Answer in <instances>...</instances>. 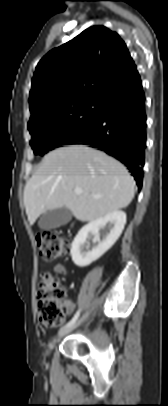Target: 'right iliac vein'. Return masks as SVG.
<instances>
[{
	"label": "right iliac vein",
	"instance_id": "1",
	"mask_svg": "<svg viewBox=\"0 0 168 406\" xmlns=\"http://www.w3.org/2000/svg\"><path fill=\"white\" fill-rule=\"evenodd\" d=\"M88 313L85 314L84 316H82L78 321L74 322L72 325L67 326V327H63L59 330L57 337L61 338L64 335L68 334L69 332H71L72 330H74L76 327H78L87 317H88Z\"/></svg>",
	"mask_w": 168,
	"mask_h": 406
}]
</instances>
